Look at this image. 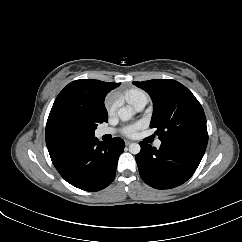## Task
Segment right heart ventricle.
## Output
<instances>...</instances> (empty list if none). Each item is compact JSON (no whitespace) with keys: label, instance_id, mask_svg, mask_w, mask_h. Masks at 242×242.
<instances>
[{"label":"right heart ventricle","instance_id":"obj_1","mask_svg":"<svg viewBox=\"0 0 242 242\" xmlns=\"http://www.w3.org/2000/svg\"><path fill=\"white\" fill-rule=\"evenodd\" d=\"M145 95L144 92L138 89H132L129 92L126 93L125 97L128 100L130 104L133 105V103L141 96Z\"/></svg>","mask_w":242,"mask_h":242}]
</instances>
